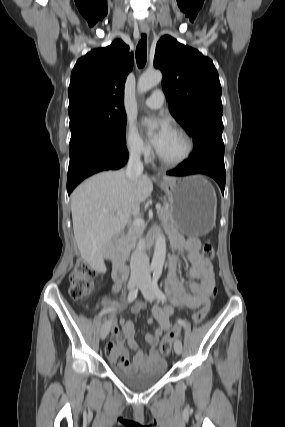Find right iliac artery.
<instances>
[{"label": "right iliac artery", "instance_id": "right-iliac-artery-1", "mask_svg": "<svg viewBox=\"0 0 285 427\" xmlns=\"http://www.w3.org/2000/svg\"><path fill=\"white\" fill-rule=\"evenodd\" d=\"M150 270L152 271L153 269L151 268ZM137 294H138V288H135L132 291H130L127 301L129 303L132 302L137 297ZM105 323H107V321Z\"/></svg>", "mask_w": 285, "mask_h": 427}]
</instances>
